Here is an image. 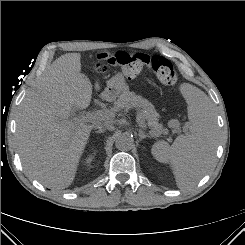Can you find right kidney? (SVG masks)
<instances>
[{"instance_id": "1", "label": "right kidney", "mask_w": 245, "mask_h": 245, "mask_svg": "<svg viewBox=\"0 0 245 245\" xmlns=\"http://www.w3.org/2000/svg\"><path fill=\"white\" fill-rule=\"evenodd\" d=\"M93 158H94L93 155H89V156L86 158L85 163H86V164H90V163L92 162Z\"/></svg>"}]
</instances>
